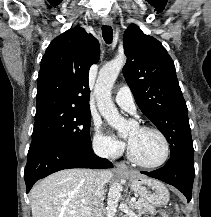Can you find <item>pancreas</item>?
<instances>
[{
  "instance_id": "pancreas-1",
  "label": "pancreas",
  "mask_w": 211,
  "mask_h": 217,
  "mask_svg": "<svg viewBox=\"0 0 211 217\" xmlns=\"http://www.w3.org/2000/svg\"><path fill=\"white\" fill-rule=\"evenodd\" d=\"M133 209H135L139 214H155V207L150 204L148 201L143 198L138 199L136 202H133Z\"/></svg>"
}]
</instances>
